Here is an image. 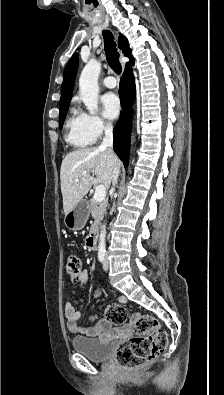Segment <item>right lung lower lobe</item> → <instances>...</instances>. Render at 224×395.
I'll list each match as a JSON object with an SVG mask.
<instances>
[{"label":"right lung lower lobe","mask_w":224,"mask_h":395,"mask_svg":"<svg viewBox=\"0 0 224 395\" xmlns=\"http://www.w3.org/2000/svg\"><path fill=\"white\" fill-rule=\"evenodd\" d=\"M132 63L133 61L126 65L125 72L120 80L119 95L123 107V114L120 116L113 130L114 151L123 161L125 167L128 165L131 133V113L129 106L136 93L135 79L131 68Z\"/></svg>","instance_id":"obj_1"}]
</instances>
